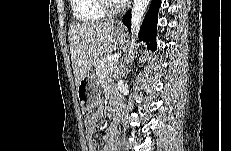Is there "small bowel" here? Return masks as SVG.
<instances>
[{"label":"small bowel","mask_w":231,"mask_h":151,"mask_svg":"<svg viewBox=\"0 0 231 151\" xmlns=\"http://www.w3.org/2000/svg\"><path fill=\"white\" fill-rule=\"evenodd\" d=\"M109 91H112L110 87L107 88ZM103 116V110L101 108L94 111L91 115H89L85 120V127L87 133V144L89 151H96L97 145L93 139V135L95 133V122ZM117 122L114 121L110 128L104 134V137L107 141V145L101 151H117Z\"/></svg>","instance_id":"small-bowel-1"}]
</instances>
